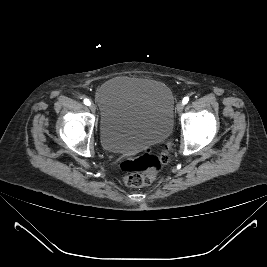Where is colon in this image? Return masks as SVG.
Here are the masks:
<instances>
[{"label":"colon","instance_id":"5ec220e1","mask_svg":"<svg viewBox=\"0 0 267 267\" xmlns=\"http://www.w3.org/2000/svg\"><path fill=\"white\" fill-rule=\"evenodd\" d=\"M167 152L155 153L148 150L135 158H125L119 168L124 174L123 181L131 187H140L151 184L167 162Z\"/></svg>","mask_w":267,"mask_h":267}]
</instances>
